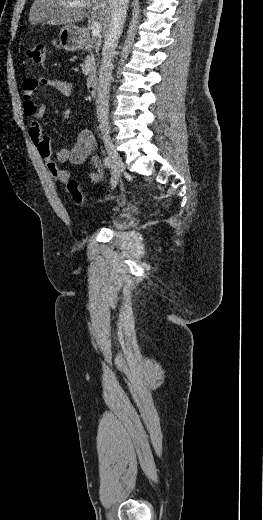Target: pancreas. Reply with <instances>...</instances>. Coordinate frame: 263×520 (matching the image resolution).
Segmentation results:
<instances>
[{
	"instance_id": "pancreas-1",
	"label": "pancreas",
	"mask_w": 263,
	"mask_h": 520,
	"mask_svg": "<svg viewBox=\"0 0 263 520\" xmlns=\"http://www.w3.org/2000/svg\"><path fill=\"white\" fill-rule=\"evenodd\" d=\"M92 47V46H91ZM82 72L84 75L93 73L96 69V59L92 51L85 57L84 62L81 65Z\"/></svg>"
}]
</instances>
